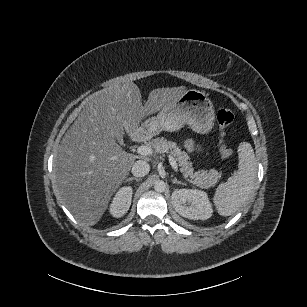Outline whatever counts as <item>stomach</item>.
<instances>
[{
  "mask_svg": "<svg viewBox=\"0 0 307 307\" xmlns=\"http://www.w3.org/2000/svg\"><path fill=\"white\" fill-rule=\"evenodd\" d=\"M215 120L214 107L204 92L190 89L182 94L171 107L162 108L149 117L142 127L155 136L162 131L174 132L188 125L198 134H208Z\"/></svg>",
  "mask_w": 307,
  "mask_h": 307,
  "instance_id": "stomach-1",
  "label": "stomach"
}]
</instances>
